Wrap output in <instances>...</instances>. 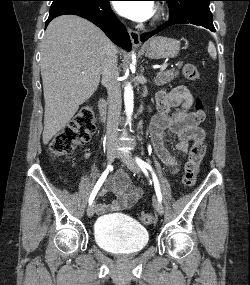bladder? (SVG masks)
Listing matches in <instances>:
<instances>
[{
  "label": "bladder",
  "mask_w": 250,
  "mask_h": 285,
  "mask_svg": "<svg viewBox=\"0 0 250 285\" xmlns=\"http://www.w3.org/2000/svg\"><path fill=\"white\" fill-rule=\"evenodd\" d=\"M93 236L99 247L116 255L138 253L149 242L148 231L143 226L114 216L99 218Z\"/></svg>",
  "instance_id": "31cf9c89"
}]
</instances>
